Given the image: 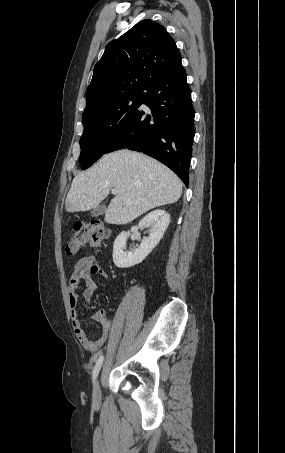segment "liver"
Here are the masks:
<instances>
[{
    "label": "liver",
    "mask_w": 285,
    "mask_h": 453,
    "mask_svg": "<svg viewBox=\"0 0 285 453\" xmlns=\"http://www.w3.org/2000/svg\"><path fill=\"white\" fill-rule=\"evenodd\" d=\"M118 193L105 211V222L127 224L150 209L172 204L182 195L177 175L160 162L127 149L104 155L76 175L65 201L67 212L95 208L111 189Z\"/></svg>",
    "instance_id": "1"
}]
</instances>
